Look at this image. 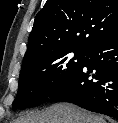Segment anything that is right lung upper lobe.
I'll use <instances>...</instances> for the list:
<instances>
[{
  "label": "right lung upper lobe",
  "instance_id": "right-lung-upper-lobe-1",
  "mask_svg": "<svg viewBox=\"0 0 118 123\" xmlns=\"http://www.w3.org/2000/svg\"><path fill=\"white\" fill-rule=\"evenodd\" d=\"M118 36V0H47L36 15L23 64L59 48L89 51Z\"/></svg>",
  "mask_w": 118,
  "mask_h": 123
}]
</instances>
